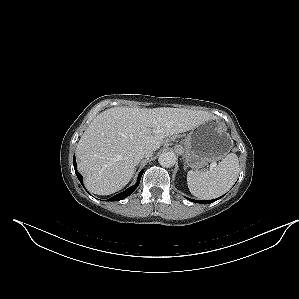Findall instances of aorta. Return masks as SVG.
Instances as JSON below:
<instances>
[{
    "label": "aorta",
    "mask_w": 299,
    "mask_h": 299,
    "mask_svg": "<svg viewBox=\"0 0 299 299\" xmlns=\"http://www.w3.org/2000/svg\"><path fill=\"white\" fill-rule=\"evenodd\" d=\"M158 162L162 167H172L176 163V155L173 152H163L159 156Z\"/></svg>",
    "instance_id": "obj_1"
}]
</instances>
